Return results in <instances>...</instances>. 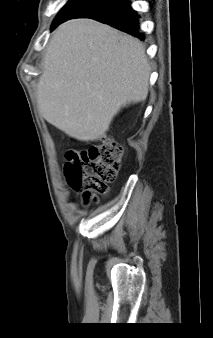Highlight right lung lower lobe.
Listing matches in <instances>:
<instances>
[{
  "label": "right lung lower lobe",
  "instance_id": "1",
  "mask_svg": "<svg viewBox=\"0 0 213 338\" xmlns=\"http://www.w3.org/2000/svg\"><path fill=\"white\" fill-rule=\"evenodd\" d=\"M73 18H92L140 40L145 38L139 31V15L132 9L129 0H93L79 7L65 21Z\"/></svg>",
  "mask_w": 213,
  "mask_h": 338
}]
</instances>
